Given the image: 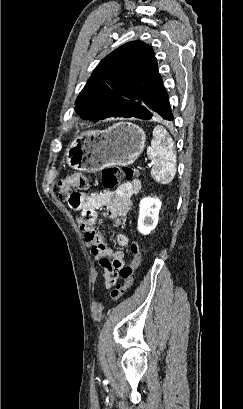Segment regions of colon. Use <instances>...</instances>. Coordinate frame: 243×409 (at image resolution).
I'll return each instance as SVG.
<instances>
[{
    "label": "colon",
    "instance_id": "colon-1",
    "mask_svg": "<svg viewBox=\"0 0 243 409\" xmlns=\"http://www.w3.org/2000/svg\"><path fill=\"white\" fill-rule=\"evenodd\" d=\"M138 176L137 170L131 167L121 166H107L102 171V183L107 189L116 187L120 181L125 178L127 180H134ZM88 181L81 173H76L66 178H63L58 183V195L63 201H66L71 207H77L80 203L79 198L73 189H86ZM133 253L132 261L120 269V277L123 283L117 285L111 291V301L116 302L122 297L127 290L132 286L134 271L140 264L141 253L138 242H133L131 246Z\"/></svg>",
    "mask_w": 243,
    "mask_h": 409
}]
</instances>
